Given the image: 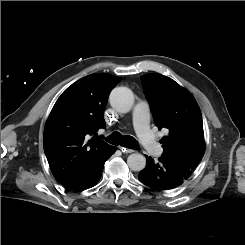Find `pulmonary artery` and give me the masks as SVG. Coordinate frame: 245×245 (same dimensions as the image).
<instances>
[{
    "mask_svg": "<svg viewBox=\"0 0 245 245\" xmlns=\"http://www.w3.org/2000/svg\"><path fill=\"white\" fill-rule=\"evenodd\" d=\"M132 120L135 132L145 150L153 156H160L163 149L150 128V113L146 103L139 102L135 105Z\"/></svg>",
    "mask_w": 245,
    "mask_h": 245,
    "instance_id": "pulmonary-artery-1",
    "label": "pulmonary artery"
}]
</instances>
